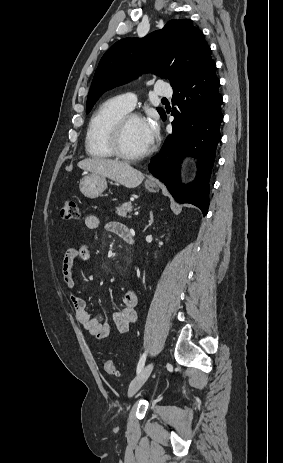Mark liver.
<instances>
[{"mask_svg":"<svg viewBox=\"0 0 283 463\" xmlns=\"http://www.w3.org/2000/svg\"><path fill=\"white\" fill-rule=\"evenodd\" d=\"M77 165L82 170L112 179L127 188L139 186L144 179L140 171L123 161L93 157L84 159Z\"/></svg>","mask_w":283,"mask_h":463,"instance_id":"1","label":"liver"}]
</instances>
